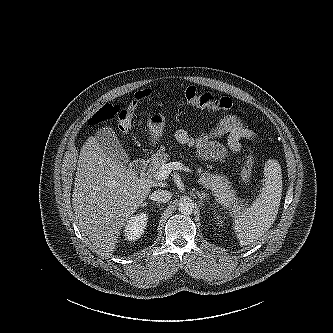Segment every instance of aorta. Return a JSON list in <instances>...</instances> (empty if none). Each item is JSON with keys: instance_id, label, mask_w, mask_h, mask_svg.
Segmentation results:
<instances>
[{"instance_id": "1", "label": "aorta", "mask_w": 333, "mask_h": 333, "mask_svg": "<svg viewBox=\"0 0 333 333\" xmlns=\"http://www.w3.org/2000/svg\"><path fill=\"white\" fill-rule=\"evenodd\" d=\"M194 210V202L187 196L180 198L179 211L184 215H189Z\"/></svg>"}]
</instances>
